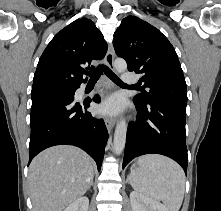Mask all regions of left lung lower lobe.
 <instances>
[{
	"mask_svg": "<svg viewBox=\"0 0 221 211\" xmlns=\"http://www.w3.org/2000/svg\"><path fill=\"white\" fill-rule=\"evenodd\" d=\"M139 111L127 130L123 168L135 157L161 154L172 158L187 174L186 104L158 101L146 106L135 102Z\"/></svg>",
	"mask_w": 221,
	"mask_h": 211,
	"instance_id": "0a47b994",
	"label": "left lung lower lobe"
}]
</instances>
